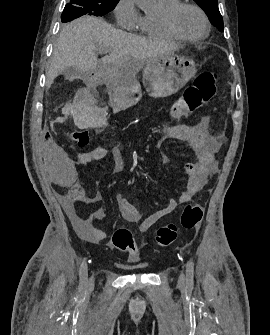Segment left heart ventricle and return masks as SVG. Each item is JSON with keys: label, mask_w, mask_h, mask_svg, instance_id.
<instances>
[{"label": "left heart ventricle", "mask_w": 270, "mask_h": 335, "mask_svg": "<svg viewBox=\"0 0 270 335\" xmlns=\"http://www.w3.org/2000/svg\"><path fill=\"white\" fill-rule=\"evenodd\" d=\"M178 28L188 36H197L204 32V24L199 13L192 7H183L177 15Z\"/></svg>", "instance_id": "left-heart-ventricle-1"}]
</instances>
